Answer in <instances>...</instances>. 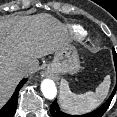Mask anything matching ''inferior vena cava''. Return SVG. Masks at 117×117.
<instances>
[{"label":"inferior vena cava","instance_id":"602c4592","mask_svg":"<svg viewBox=\"0 0 117 117\" xmlns=\"http://www.w3.org/2000/svg\"><path fill=\"white\" fill-rule=\"evenodd\" d=\"M20 72L23 73V74H27V73L30 72V70L27 67H23V68L20 69Z\"/></svg>","mask_w":117,"mask_h":117}]
</instances>
